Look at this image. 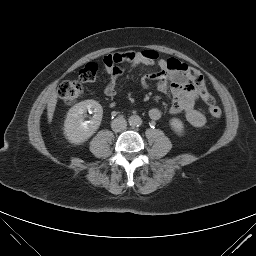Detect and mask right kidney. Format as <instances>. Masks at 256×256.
Returning a JSON list of instances; mask_svg holds the SVG:
<instances>
[{
    "label": "right kidney",
    "mask_w": 256,
    "mask_h": 256,
    "mask_svg": "<svg viewBox=\"0 0 256 256\" xmlns=\"http://www.w3.org/2000/svg\"><path fill=\"white\" fill-rule=\"evenodd\" d=\"M87 110L94 112L90 121H84ZM103 116L102 106L95 100H85L75 104L64 121V134L73 144L87 141L99 128Z\"/></svg>",
    "instance_id": "1"
}]
</instances>
